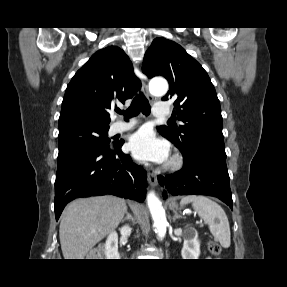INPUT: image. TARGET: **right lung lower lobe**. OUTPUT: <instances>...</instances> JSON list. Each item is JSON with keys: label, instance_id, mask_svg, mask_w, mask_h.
I'll return each mask as SVG.
<instances>
[{"label": "right lung lower lobe", "instance_id": "right-lung-lower-lobe-1", "mask_svg": "<svg viewBox=\"0 0 287 287\" xmlns=\"http://www.w3.org/2000/svg\"><path fill=\"white\" fill-rule=\"evenodd\" d=\"M123 141L109 149L72 146L59 151L55 180V216L80 197L112 194L143 202L146 171L122 152Z\"/></svg>", "mask_w": 287, "mask_h": 287}]
</instances>
